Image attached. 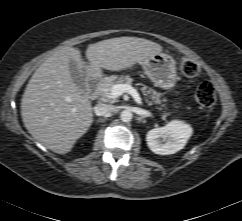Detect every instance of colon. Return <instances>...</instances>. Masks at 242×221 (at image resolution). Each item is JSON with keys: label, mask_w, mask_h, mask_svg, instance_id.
<instances>
[{"label": "colon", "mask_w": 242, "mask_h": 221, "mask_svg": "<svg viewBox=\"0 0 242 221\" xmlns=\"http://www.w3.org/2000/svg\"><path fill=\"white\" fill-rule=\"evenodd\" d=\"M181 70L187 77H197L200 73L199 64L189 58H184L181 62ZM196 101L203 108H210L216 101V91L214 85L209 82H203L196 92Z\"/></svg>", "instance_id": "colon-1"}]
</instances>
